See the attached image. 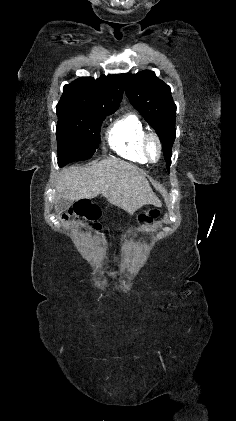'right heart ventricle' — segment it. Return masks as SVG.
I'll return each instance as SVG.
<instances>
[{"label": "right heart ventricle", "instance_id": "e07e8e85", "mask_svg": "<svg viewBox=\"0 0 236 421\" xmlns=\"http://www.w3.org/2000/svg\"><path fill=\"white\" fill-rule=\"evenodd\" d=\"M145 134L146 129L140 117L129 112L112 123L107 131V141L110 148L121 157L143 164L147 162L142 149Z\"/></svg>", "mask_w": 236, "mask_h": 421}]
</instances>
